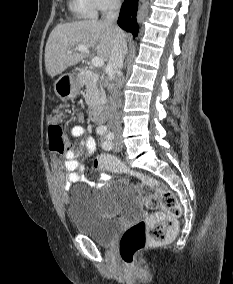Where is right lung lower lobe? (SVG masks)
<instances>
[{
  "instance_id": "1",
  "label": "right lung lower lobe",
  "mask_w": 233,
  "mask_h": 284,
  "mask_svg": "<svg viewBox=\"0 0 233 284\" xmlns=\"http://www.w3.org/2000/svg\"><path fill=\"white\" fill-rule=\"evenodd\" d=\"M138 0H125L118 18V25L124 30L131 32L135 37L138 33V24L136 21Z\"/></svg>"
}]
</instances>
